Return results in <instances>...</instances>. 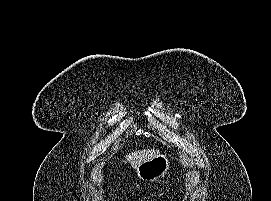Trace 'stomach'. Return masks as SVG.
<instances>
[{"label":"stomach","instance_id":"stomach-1","mask_svg":"<svg viewBox=\"0 0 271 201\" xmlns=\"http://www.w3.org/2000/svg\"><path fill=\"white\" fill-rule=\"evenodd\" d=\"M169 159L164 154H159L151 160L143 162L136 168L137 176L140 180L156 181L163 177L169 169Z\"/></svg>","mask_w":271,"mask_h":201}]
</instances>
